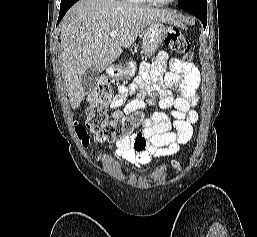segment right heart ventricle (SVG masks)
Here are the masks:
<instances>
[{"label": "right heart ventricle", "instance_id": "right-heart-ventricle-1", "mask_svg": "<svg viewBox=\"0 0 257 237\" xmlns=\"http://www.w3.org/2000/svg\"><path fill=\"white\" fill-rule=\"evenodd\" d=\"M122 1H125V2H134V3H143V2L146 1V0H122Z\"/></svg>", "mask_w": 257, "mask_h": 237}]
</instances>
